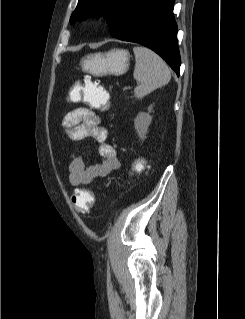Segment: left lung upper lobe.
Segmentation results:
<instances>
[{
  "label": "left lung upper lobe",
  "instance_id": "obj_1",
  "mask_svg": "<svg viewBox=\"0 0 245 319\" xmlns=\"http://www.w3.org/2000/svg\"><path fill=\"white\" fill-rule=\"evenodd\" d=\"M142 0H79L75 11L72 13L70 21L86 19L89 16L104 15L110 22L111 35L115 37L132 10Z\"/></svg>",
  "mask_w": 245,
  "mask_h": 319
}]
</instances>
